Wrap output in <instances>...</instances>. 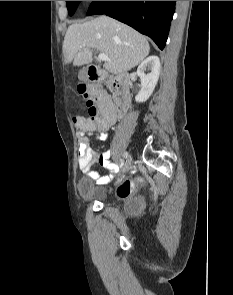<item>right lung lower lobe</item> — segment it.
I'll return each instance as SVG.
<instances>
[{
  "label": "right lung lower lobe",
  "mask_w": 233,
  "mask_h": 295,
  "mask_svg": "<svg viewBox=\"0 0 233 295\" xmlns=\"http://www.w3.org/2000/svg\"><path fill=\"white\" fill-rule=\"evenodd\" d=\"M174 11L175 1H93L86 15L113 17L149 36L162 50Z\"/></svg>",
  "instance_id": "98d812e1"
}]
</instances>
